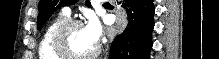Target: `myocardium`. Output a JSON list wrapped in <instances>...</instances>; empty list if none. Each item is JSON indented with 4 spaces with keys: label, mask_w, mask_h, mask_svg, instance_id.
<instances>
[{
    "label": "myocardium",
    "mask_w": 219,
    "mask_h": 59,
    "mask_svg": "<svg viewBox=\"0 0 219 59\" xmlns=\"http://www.w3.org/2000/svg\"><path fill=\"white\" fill-rule=\"evenodd\" d=\"M74 26H83L77 19H67L56 30L53 37V49L63 59H93L100 53V46L96 44L93 51L88 54L78 55L70 51L67 46V34Z\"/></svg>",
    "instance_id": "obj_1"
}]
</instances>
